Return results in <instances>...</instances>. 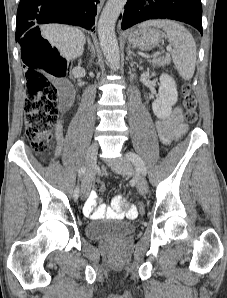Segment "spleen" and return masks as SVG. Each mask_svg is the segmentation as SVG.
Here are the masks:
<instances>
[{"instance_id":"spleen-1","label":"spleen","mask_w":227,"mask_h":298,"mask_svg":"<svg viewBox=\"0 0 227 298\" xmlns=\"http://www.w3.org/2000/svg\"><path fill=\"white\" fill-rule=\"evenodd\" d=\"M144 26H156L167 33L170 45L173 47V63L184 80H190L196 65V43L192 34L182 25L171 20H150Z\"/></svg>"}]
</instances>
